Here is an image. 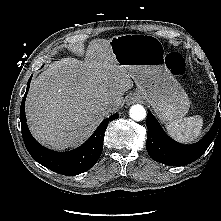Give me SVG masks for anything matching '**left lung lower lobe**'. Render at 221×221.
I'll use <instances>...</instances> for the list:
<instances>
[{
    "mask_svg": "<svg viewBox=\"0 0 221 221\" xmlns=\"http://www.w3.org/2000/svg\"><path fill=\"white\" fill-rule=\"evenodd\" d=\"M221 103V93H220ZM146 147L150 157L160 163L183 166L198 159L213 141L216 133H221V117L217 111L210 131L199 142L191 145L180 144L168 137L154 115L148 110Z\"/></svg>",
    "mask_w": 221,
    "mask_h": 221,
    "instance_id": "0a47b994",
    "label": "left lung lower lobe"
}]
</instances>
